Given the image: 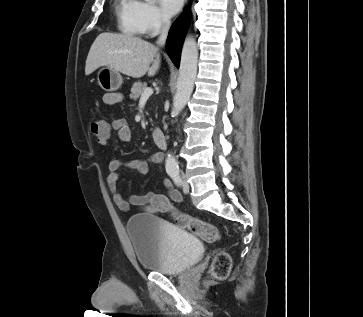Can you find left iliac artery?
Masks as SVG:
<instances>
[{
	"label": "left iliac artery",
	"mask_w": 363,
	"mask_h": 317,
	"mask_svg": "<svg viewBox=\"0 0 363 317\" xmlns=\"http://www.w3.org/2000/svg\"><path fill=\"white\" fill-rule=\"evenodd\" d=\"M171 178L173 179V181L175 182L176 185L180 186L181 185V179L179 176V171H173L170 173Z\"/></svg>",
	"instance_id": "1"
}]
</instances>
